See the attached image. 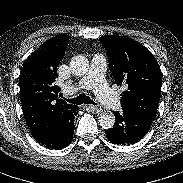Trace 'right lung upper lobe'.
<instances>
[{
    "label": "right lung upper lobe",
    "mask_w": 183,
    "mask_h": 183,
    "mask_svg": "<svg viewBox=\"0 0 183 183\" xmlns=\"http://www.w3.org/2000/svg\"><path fill=\"white\" fill-rule=\"evenodd\" d=\"M69 36L52 37L35 50L23 63L19 79L24 117L32 126L40 117L50 120L69 119L77 110L58 98L60 88L55 85L57 66L65 54Z\"/></svg>",
    "instance_id": "obj_1"
}]
</instances>
